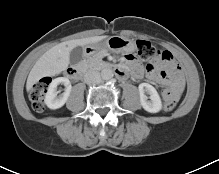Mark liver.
Listing matches in <instances>:
<instances>
[{
  "mask_svg": "<svg viewBox=\"0 0 219 174\" xmlns=\"http://www.w3.org/2000/svg\"><path fill=\"white\" fill-rule=\"evenodd\" d=\"M108 36H94L82 39H75L62 42L48 51H46L35 63L31 69L27 82L26 89L30 91L34 84L41 78L46 76H54L65 71L70 63V52L78 46H85L92 43H97L106 39Z\"/></svg>",
  "mask_w": 219,
  "mask_h": 174,
  "instance_id": "obj_1",
  "label": "liver"
}]
</instances>
